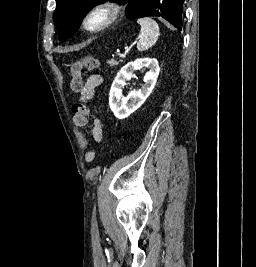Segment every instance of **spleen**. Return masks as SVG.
<instances>
[{"label":"spleen","mask_w":256,"mask_h":267,"mask_svg":"<svg viewBox=\"0 0 256 267\" xmlns=\"http://www.w3.org/2000/svg\"><path fill=\"white\" fill-rule=\"evenodd\" d=\"M137 24H140L141 30L138 36L137 50L139 52H145L152 48L158 40L159 26L152 18H140L137 20Z\"/></svg>","instance_id":"3e777b00"}]
</instances>
